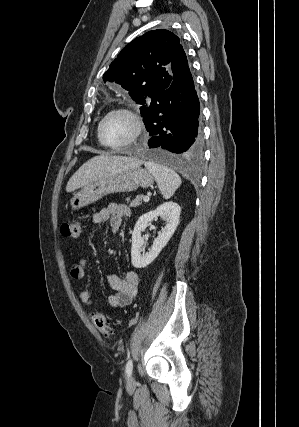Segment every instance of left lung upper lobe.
Returning <instances> with one entry per match:
<instances>
[{"mask_svg":"<svg viewBox=\"0 0 299 427\" xmlns=\"http://www.w3.org/2000/svg\"><path fill=\"white\" fill-rule=\"evenodd\" d=\"M179 45L180 39L168 30L149 31L122 49L103 80L126 89L141 105L143 116L169 87L173 78L171 62Z\"/></svg>","mask_w":299,"mask_h":427,"instance_id":"5c2ea615","label":"left lung upper lobe"}]
</instances>
